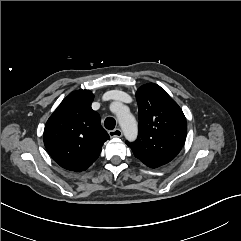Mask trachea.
<instances>
[{
    "instance_id": "3493384b",
    "label": "trachea",
    "mask_w": 241,
    "mask_h": 241,
    "mask_svg": "<svg viewBox=\"0 0 241 241\" xmlns=\"http://www.w3.org/2000/svg\"><path fill=\"white\" fill-rule=\"evenodd\" d=\"M116 121L112 117H107L104 121V126L108 130H113L115 128Z\"/></svg>"
}]
</instances>
